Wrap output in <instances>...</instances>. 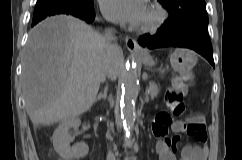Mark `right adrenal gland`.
Masks as SVG:
<instances>
[{
	"label": "right adrenal gland",
	"instance_id": "1",
	"mask_svg": "<svg viewBox=\"0 0 242 160\" xmlns=\"http://www.w3.org/2000/svg\"><path fill=\"white\" fill-rule=\"evenodd\" d=\"M107 91H108V87L105 86L103 93L100 92V93L98 94L97 98L95 99V101H99V100H101V99H104V100H105V99L107 98Z\"/></svg>",
	"mask_w": 242,
	"mask_h": 160
}]
</instances>
